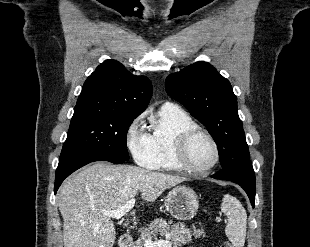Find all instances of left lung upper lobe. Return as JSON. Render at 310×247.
Instances as JSON below:
<instances>
[{
	"mask_svg": "<svg viewBox=\"0 0 310 247\" xmlns=\"http://www.w3.org/2000/svg\"><path fill=\"white\" fill-rule=\"evenodd\" d=\"M167 93L203 123L217 144L222 169L250 161L237 97L229 81L206 62L170 74Z\"/></svg>",
	"mask_w": 310,
	"mask_h": 247,
	"instance_id": "1",
	"label": "left lung upper lobe"
}]
</instances>
